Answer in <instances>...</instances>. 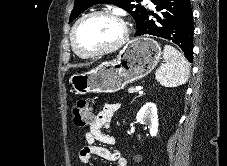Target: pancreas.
<instances>
[{
    "label": "pancreas",
    "instance_id": "1",
    "mask_svg": "<svg viewBox=\"0 0 227 166\" xmlns=\"http://www.w3.org/2000/svg\"><path fill=\"white\" fill-rule=\"evenodd\" d=\"M128 92H129V93H134V92H135V88H134V87L129 88V89H128Z\"/></svg>",
    "mask_w": 227,
    "mask_h": 166
}]
</instances>
